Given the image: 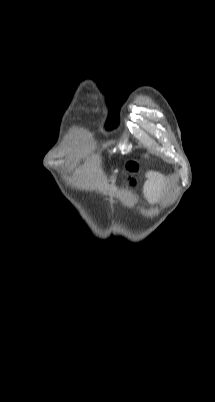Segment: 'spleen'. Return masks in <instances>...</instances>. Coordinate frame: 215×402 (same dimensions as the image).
Returning a JSON list of instances; mask_svg holds the SVG:
<instances>
[{
	"instance_id": "1",
	"label": "spleen",
	"mask_w": 215,
	"mask_h": 402,
	"mask_svg": "<svg viewBox=\"0 0 215 402\" xmlns=\"http://www.w3.org/2000/svg\"><path fill=\"white\" fill-rule=\"evenodd\" d=\"M150 177V175H148ZM147 196H149V202H154V195H158V190H154L153 186H148V189L146 191Z\"/></svg>"
}]
</instances>
